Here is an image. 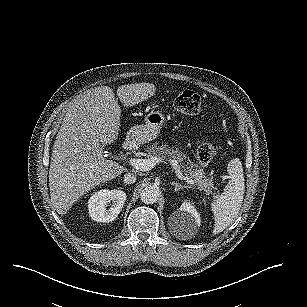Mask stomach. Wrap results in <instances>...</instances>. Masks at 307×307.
Masks as SVG:
<instances>
[{
  "label": "stomach",
  "instance_id": "stomach-1",
  "mask_svg": "<svg viewBox=\"0 0 307 307\" xmlns=\"http://www.w3.org/2000/svg\"><path fill=\"white\" fill-rule=\"evenodd\" d=\"M165 122L160 111H151L145 116L144 124L136 125L127 132L126 140L134 144H145L156 139Z\"/></svg>",
  "mask_w": 307,
  "mask_h": 307
}]
</instances>
